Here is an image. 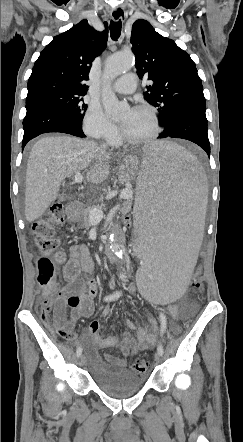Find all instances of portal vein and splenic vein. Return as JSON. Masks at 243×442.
I'll use <instances>...</instances> for the list:
<instances>
[{"mask_svg": "<svg viewBox=\"0 0 243 442\" xmlns=\"http://www.w3.org/2000/svg\"><path fill=\"white\" fill-rule=\"evenodd\" d=\"M75 181L77 183H81L83 181V176L81 175L80 171L75 172ZM133 192L130 188L124 189L120 193V198L122 199H132ZM103 218V212L97 208H94L90 211V219L91 221H100Z\"/></svg>", "mask_w": 243, "mask_h": 442, "instance_id": "18ae733b", "label": "portal vein and splenic vein"}]
</instances>
